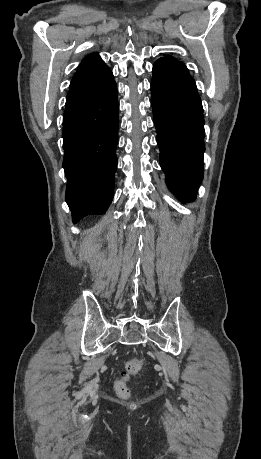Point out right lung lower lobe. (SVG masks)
<instances>
[{"label":"right lung lower lobe","mask_w":261,"mask_h":459,"mask_svg":"<svg viewBox=\"0 0 261 459\" xmlns=\"http://www.w3.org/2000/svg\"><path fill=\"white\" fill-rule=\"evenodd\" d=\"M118 126L115 81L95 97L64 112L66 202L74 223L87 215L105 213L113 199Z\"/></svg>","instance_id":"obj_1"}]
</instances>
